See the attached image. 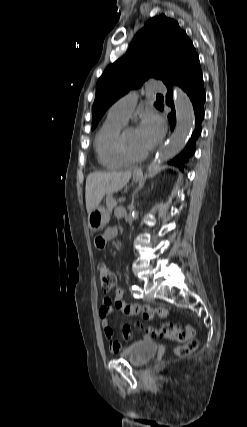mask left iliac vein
<instances>
[{"label":"left iliac vein","instance_id":"obj_1","mask_svg":"<svg viewBox=\"0 0 247 427\" xmlns=\"http://www.w3.org/2000/svg\"><path fill=\"white\" fill-rule=\"evenodd\" d=\"M144 300L147 301V302H153L154 301V297L152 295H150V294H146L144 296Z\"/></svg>","mask_w":247,"mask_h":427}]
</instances>
